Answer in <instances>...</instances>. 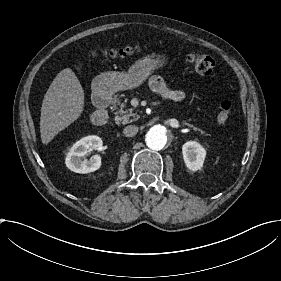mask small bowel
<instances>
[{"label": "small bowel", "mask_w": 281, "mask_h": 281, "mask_svg": "<svg viewBox=\"0 0 281 281\" xmlns=\"http://www.w3.org/2000/svg\"><path fill=\"white\" fill-rule=\"evenodd\" d=\"M148 84L155 93L170 101L182 102L186 99V93L183 90L168 87L165 80L158 75L151 76Z\"/></svg>", "instance_id": "small-bowel-1"}]
</instances>
